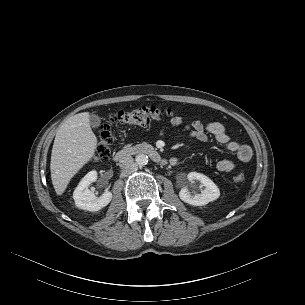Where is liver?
I'll list each match as a JSON object with an SVG mask.
<instances>
[{
  "instance_id": "6515ba94",
  "label": "liver",
  "mask_w": 305,
  "mask_h": 305,
  "mask_svg": "<svg viewBox=\"0 0 305 305\" xmlns=\"http://www.w3.org/2000/svg\"><path fill=\"white\" fill-rule=\"evenodd\" d=\"M88 112L67 119L58 129L51 153V180L62 195L70 180L94 156L97 138L90 127Z\"/></svg>"
}]
</instances>
